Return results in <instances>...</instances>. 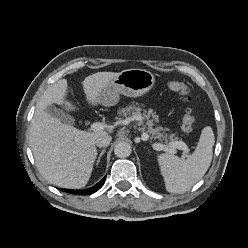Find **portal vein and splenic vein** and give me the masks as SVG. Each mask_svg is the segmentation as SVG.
<instances>
[{"label": "portal vein and splenic vein", "instance_id": "obj_1", "mask_svg": "<svg viewBox=\"0 0 248 248\" xmlns=\"http://www.w3.org/2000/svg\"><path fill=\"white\" fill-rule=\"evenodd\" d=\"M105 128H106V125L104 123H101V122H96V123H93L91 125V130H93V131H102ZM141 137H142V140H144V141H147L149 139V135L147 133H143ZM169 146L171 148L165 147L164 145L159 144V143H154L152 145L153 149L157 150V151L166 150V151H169L171 153H175L174 149H181V150H184L185 152L188 151V147L184 142L171 143Z\"/></svg>", "mask_w": 248, "mask_h": 248}]
</instances>
